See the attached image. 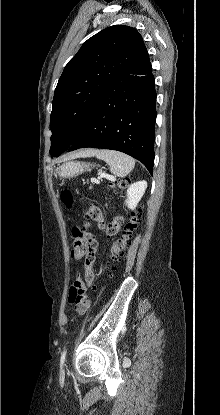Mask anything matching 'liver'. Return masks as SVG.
Instances as JSON below:
<instances>
[{
	"mask_svg": "<svg viewBox=\"0 0 220 415\" xmlns=\"http://www.w3.org/2000/svg\"><path fill=\"white\" fill-rule=\"evenodd\" d=\"M95 152L96 151H94V150H87V151L80 152L78 155H80V156H93V155H95Z\"/></svg>",
	"mask_w": 220,
	"mask_h": 415,
	"instance_id": "6515ba94",
	"label": "liver"
}]
</instances>
